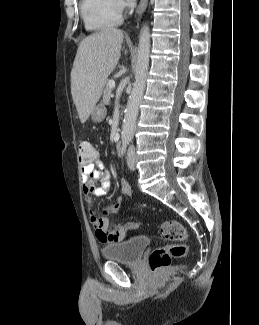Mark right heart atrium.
I'll use <instances>...</instances> for the list:
<instances>
[{
    "instance_id": "d8ad5b80",
    "label": "right heart atrium",
    "mask_w": 259,
    "mask_h": 325,
    "mask_svg": "<svg viewBox=\"0 0 259 325\" xmlns=\"http://www.w3.org/2000/svg\"><path fill=\"white\" fill-rule=\"evenodd\" d=\"M114 1V5L116 7V9L121 12L124 7H125V3L123 0H113Z\"/></svg>"
}]
</instances>
